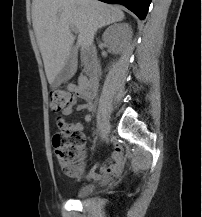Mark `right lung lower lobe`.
<instances>
[{
	"instance_id": "1",
	"label": "right lung lower lobe",
	"mask_w": 202,
	"mask_h": 217,
	"mask_svg": "<svg viewBox=\"0 0 202 217\" xmlns=\"http://www.w3.org/2000/svg\"><path fill=\"white\" fill-rule=\"evenodd\" d=\"M109 4H121L143 20L148 12L151 0H100Z\"/></svg>"
}]
</instances>
